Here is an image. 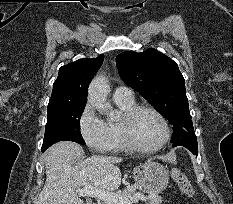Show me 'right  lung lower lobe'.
Returning a JSON list of instances; mask_svg holds the SVG:
<instances>
[{"label":"right lung lower lobe","mask_w":233,"mask_h":204,"mask_svg":"<svg viewBox=\"0 0 233 204\" xmlns=\"http://www.w3.org/2000/svg\"><path fill=\"white\" fill-rule=\"evenodd\" d=\"M46 149H42V152H44Z\"/></svg>","instance_id":"98d812e1"}]
</instances>
